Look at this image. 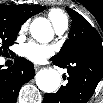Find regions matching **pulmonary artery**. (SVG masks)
I'll use <instances>...</instances> for the list:
<instances>
[{
  "mask_svg": "<svg viewBox=\"0 0 103 103\" xmlns=\"http://www.w3.org/2000/svg\"><path fill=\"white\" fill-rule=\"evenodd\" d=\"M66 28H67V25H62V26L56 28V32L58 34H63L65 32Z\"/></svg>",
  "mask_w": 103,
  "mask_h": 103,
  "instance_id": "e3ab8cb5",
  "label": "pulmonary artery"
}]
</instances>
